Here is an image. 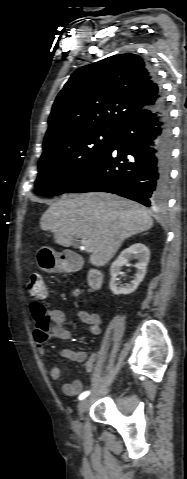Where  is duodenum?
I'll return each mask as SVG.
<instances>
[{
  "label": "duodenum",
  "instance_id": "410a0bca",
  "mask_svg": "<svg viewBox=\"0 0 187 479\" xmlns=\"http://www.w3.org/2000/svg\"><path fill=\"white\" fill-rule=\"evenodd\" d=\"M65 261L70 269H77L79 267V261L73 257L65 256ZM89 286L93 289H99L103 283V275L100 270L93 269L89 273L88 277Z\"/></svg>",
  "mask_w": 187,
  "mask_h": 479
}]
</instances>
